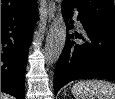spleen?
I'll list each match as a JSON object with an SVG mask.
<instances>
[{"mask_svg": "<svg viewBox=\"0 0 115 99\" xmlns=\"http://www.w3.org/2000/svg\"><path fill=\"white\" fill-rule=\"evenodd\" d=\"M75 99H115V84L103 80H84L71 89Z\"/></svg>", "mask_w": 115, "mask_h": 99, "instance_id": "3e777b00", "label": "spleen"}]
</instances>
